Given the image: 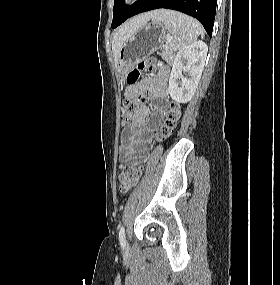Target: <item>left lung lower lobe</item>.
Segmentation results:
<instances>
[{"label":"left lung lower lobe","mask_w":280,"mask_h":285,"mask_svg":"<svg viewBox=\"0 0 280 285\" xmlns=\"http://www.w3.org/2000/svg\"><path fill=\"white\" fill-rule=\"evenodd\" d=\"M217 0H140L130 17L153 9H173L198 19L211 37Z\"/></svg>","instance_id":"obj_1"}]
</instances>
